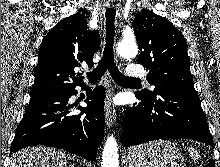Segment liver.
Returning a JSON list of instances; mask_svg holds the SVG:
<instances>
[{"mask_svg":"<svg viewBox=\"0 0 220 167\" xmlns=\"http://www.w3.org/2000/svg\"><path fill=\"white\" fill-rule=\"evenodd\" d=\"M9 167H68L66 154L54 148H25L12 155Z\"/></svg>","mask_w":220,"mask_h":167,"instance_id":"liver-1","label":"liver"}]
</instances>
